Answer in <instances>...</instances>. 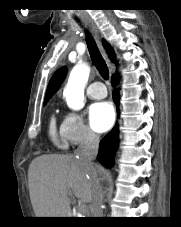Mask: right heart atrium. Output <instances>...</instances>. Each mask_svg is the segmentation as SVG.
Returning a JSON list of instances; mask_svg holds the SVG:
<instances>
[{
    "mask_svg": "<svg viewBox=\"0 0 181 227\" xmlns=\"http://www.w3.org/2000/svg\"><path fill=\"white\" fill-rule=\"evenodd\" d=\"M61 133L68 143L75 146L94 143L98 138L82 116L76 112L65 115L61 124Z\"/></svg>",
    "mask_w": 181,
    "mask_h": 227,
    "instance_id": "1",
    "label": "right heart atrium"
}]
</instances>
